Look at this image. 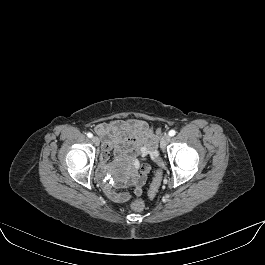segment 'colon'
Returning <instances> with one entry per match:
<instances>
[{
    "label": "colon",
    "mask_w": 265,
    "mask_h": 265,
    "mask_svg": "<svg viewBox=\"0 0 265 265\" xmlns=\"http://www.w3.org/2000/svg\"><path fill=\"white\" fill-rule=\"evenodd\" d=\"M161 180H162V172L160 170H156L152 183L150 185L149 191H148V196L149 198H154L159 190V187L161 185ZM145 207V203L141 199H137L131 202V208L134 211H142Z\"/></svg>",
    "instance_id": "colon-1"
}]
</instances>
